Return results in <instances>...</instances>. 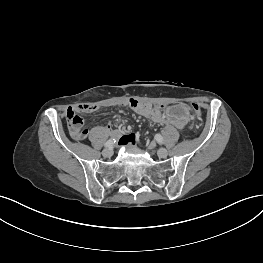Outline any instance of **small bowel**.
Returning <instances> with one entry per match:
<instances>
[{
	"label": "small bowel",
	"mask_w": 263,
	"mask_h": 263,
	"mask_svg": "<svg viewBox=\"0 0 263 263\" xmlns=\"http://www.w3.org/2000/svg\"><path fill=\"white\" fill-rule=\"evenodd\" d=\"M123 106L130 108L135 113L145 117L149 118L155 122L159 123H167L172 124L176 126L177 128L183 129L186 127L188 119L185 121H178L176 119H169L165 116L164 110L160 107H152L149 104L139 102L137 100L131 99L127 103H125ZM98 109V107L94 104H85L80 105L77 109H75L78 112L81 113H92L95 112ZM116 137L120 139V141L124 143H131L136 144L137 142V136L135 134H129L126 136H120V134L116 131L112 132Z\"/></svg>",
	"instance_id": "c3829d8e"
}]
</instances>
